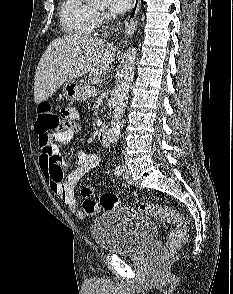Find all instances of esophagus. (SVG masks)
Listing matches in <instances>:
<instances>
[{
	"label": "esophagus",
	"instance_id": "1",
	"mask_svg": "<svg viewBox=\"0 0 233 294\" xmlns=\"http://www.w3.org/2000/svg\"><path fill=\"white\" fill-rule=\"evenodd\" d=\"M141 8V0H134L130 13L128 14L125 23H124V37H130L136 26V17Z\"/></svg>",
	"mask_w": 233,
	"mask_h": 294
}]
</instances>
